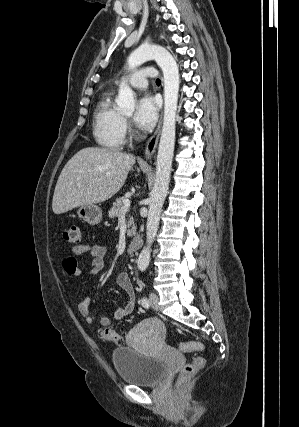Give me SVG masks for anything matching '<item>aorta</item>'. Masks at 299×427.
<instances>
[{"label":"aorta","instance_id":"obj_1","mask_svg":"<svg viewBox=\"0 0 299 427\" xmlns=\"http://www.w3.org/2000/svg\"><path fill=\"white\" fill-rule=\"evenodd\" d=\"M149 60H155L163 72L164 117L157 155L155 182L149 199L146 226L147 242L137 261L140 270L146 269L149 265L151 246L159 227L162 206L169 189L180 84L177 63L169 51L161 46L141 45L138 47L127 59L128 69L132 70ZM116 103L125 112L132 113L134 111L135 94L129 86H120Z\"/></svg>","mask_w":299,"mask_h":427}]
</instances>
